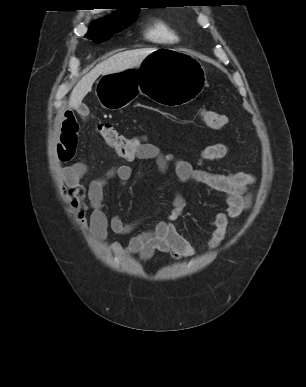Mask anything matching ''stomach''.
I'll return each instance as SVG.
<instances>
[{
  "label": "stomach",
  "mask_w": 306,
  "mask_h": 387,
  "mask_svg": "<svg viewBox=\"0 0 306 387\" xmlns=\"http://www.w3.org/2000/svg\"><path fill=\"white\" fill-rule=\"evenodd\" d=\"M135 73H112L98 80L97 96L102 107L124 108L134 100L137 91H145L146 99L156 100L162 108H183L184 104L193 103L197 91L206 84L201 63L172 46H156Z\"/></svg>",
  "instance_id": "stomach-1"
}]
</instances>
